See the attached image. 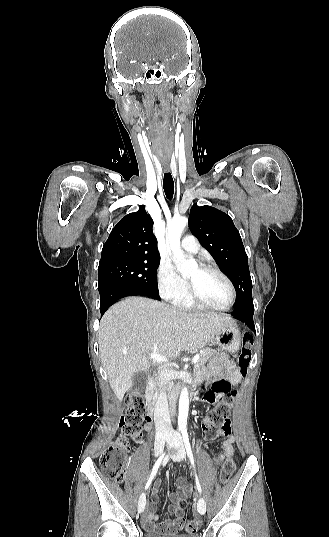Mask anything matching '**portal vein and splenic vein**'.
I'll return each mask as SVG.
<instances>
[{
    "label": "portal vein and splenic vein",
    "instance_id": "18ae733b",
    "mask_svg": "<svg viewBox=\"0 0 329 537\" xmlns=\"http://www.w3.org/2000/svg\"><path fill=\"white\" fill-rule=\"evenodd\" d=\"M158 349L155 348L152 353L149 354V357L151 359H153L154 361H157V362H167L168 360L164 357H162L161 355L158 354ZM199 358L200 356L197 354L194 356V358L192 359V364H195L199 361Z\"/></svg>",
    "mask_w": 329,
    "mask_h": 537
}]
</instances>
